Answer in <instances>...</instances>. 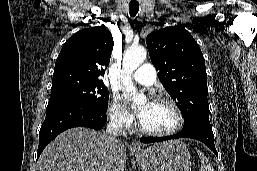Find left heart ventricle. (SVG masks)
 Listing matches in <instances>:
<instances>
[{"label": "left heart ventricle", "instance_id": "b2bd125f", "mask_svg": "<svg viewBox=\"0 0 257 171\" xmlns=\"http://www.w3.org/2000/svg\"><path fill=\"white\" fill-rule=\"evenodd\" d=\"M141 108H144V113L139 119L148 129L164 131L176 123L175 112L166 103L148 102L144 103Z\"/></svg>", "mask_w": 257, "mask_h": 171}]
</instances>
